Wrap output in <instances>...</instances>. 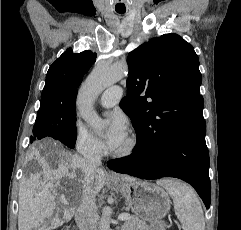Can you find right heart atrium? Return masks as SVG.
Returning a JSON list of instances; mask_svg holds the SVG:
<instances>
[{"instance_id":"obj_1","label":"right heart atrium","mask_w":241,"mask_h":230,"mask_svg":"<svg viewBox=\"0 0 241 230\" xmlns=\"http://www.w3.org/2000/svg\"><path fill=\"white\" fill-rule=\"evenodd\" d=\"M76 150L87 157L99 156L103 150V143L83 126L77 125L74 135Z\"/></svg>"}]
</instances>
